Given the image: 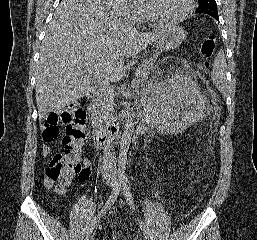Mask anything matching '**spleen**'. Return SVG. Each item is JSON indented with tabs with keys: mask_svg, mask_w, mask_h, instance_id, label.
<instances>
[{
	"mask_svg": "<svg viewBox=\"0 0 257 240\" xmlns=\"http://www.w3.org/2000/svg\"><path fill=\"white\" fill-rule=\"evenodd\" d=\"M226 60L223 51H220L215 59L213 64L211 77L213 83L221 92H225L226 90ZM183 127L185 125H182Z\"/></svg>",
	"mask_w": 257,
	"mask_h": 240,
	"instance_id": "1",
	"label": "spleen"
}]
</instances>
